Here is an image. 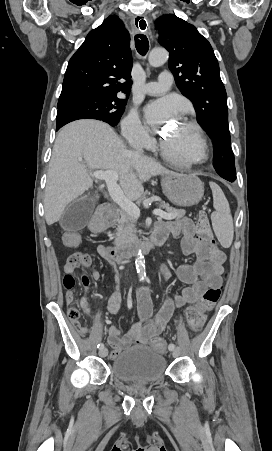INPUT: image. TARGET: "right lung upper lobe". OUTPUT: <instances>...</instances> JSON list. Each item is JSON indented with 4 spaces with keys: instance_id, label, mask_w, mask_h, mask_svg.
I'll return each mask as SVG.
<instances>
[{
    "instance_id": "1",
    "label": "right lung upper lobe",
    "mask_w": 272,
    "mask_h": 451,
    "mask_svg": "<svg viewBox=\"0 0 272 451\" xmlns=\"http://www.w3.org/2000/svg\"><path fill=\"white\" fill-rule=\"evenodd\" d=\"M116 15L90 31L71 57L59 100L81 96H127L132 84L130 36ZM120 80H126L120 82Z\"/></svg>"
}]
</instances>
